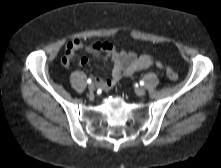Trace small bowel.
I'll list each match as a JSON object with an SVG mask.
<instances>
[{
    "instance_id": "c3829d8e",
    "label": "small bowel",
    "mask_w": 221,
    "mask_h": 168,
    "mask_svg": "<svg viewBox=\"0 0 221 168\" xmlns=\"http://www.w3.org/2000/svg\"><path fill=\"white\" fill-rule=\"evenodd\" d=\"M85 49L88 53L104 56L112 67V75L109 79L95 77L96 84L102 89L112 88L120 79L131 76L132 74L148 69L153 65L162 68V64L155 62L149 54L136 55L132 51H118L112 43L96 42L84 44L78 39H74L66 44L65 54L62 58V63L68 65L74 60L75 52ZM81 66L88 64V59L82 57L78 60Z\"/></svg>"
}]
</instances>
